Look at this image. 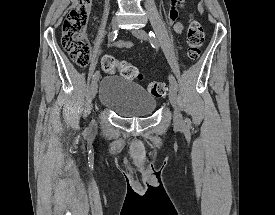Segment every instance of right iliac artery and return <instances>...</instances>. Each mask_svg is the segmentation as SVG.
<instances>
[{
  "mask_svg": "<svg viewBox=\"0 0 275 215\" xmlns=\"http://www.w3.org/2000/svg\"><path fill=\"white\" fill-rule=\"evenodd\" d=\"M117 35H118V31H117V30L112 31L111 33H109L108 39H109L110 41H114V40L116 39ZM99 76H100L99 72L96 71V72L93 74V81L96 80V79H98Z\"/></svg>",
  "mask_w": 275,
  "mask_h": 215,
  "instance_id": "right-iliac-artery-1",
  "label": "right iliac artery"
}]
</instances>
